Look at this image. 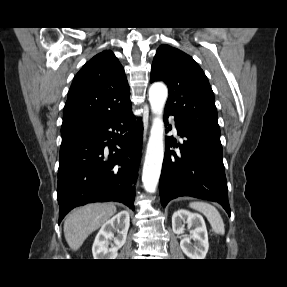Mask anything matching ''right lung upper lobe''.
<instances>
[{"instance_id":"right-lung-upper-lobe-1","label":"right lung upper lobe","mask_w":287,"mask_h":287,"mask_svg":"<svg viewBox=\"0 0 287 287\" xmlns=\"http://www.w3.org/2000/svg\"><path fill=\"white\" fill-rule=\"evenodd\" d=\"M131 106L122 65L112 51H103L77 73L63 110V126L89 125Z\"/></svg>"}]
</instances>
